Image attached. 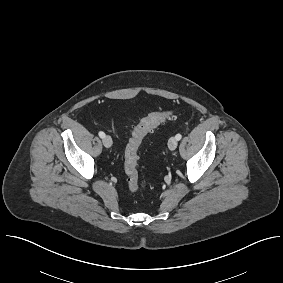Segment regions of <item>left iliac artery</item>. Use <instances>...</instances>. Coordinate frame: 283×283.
Here are the masks:
<instances>
[{
  "instance_id": "1",
  "label": "left iliac artery",
  "mask_w": 283,
  "mask_h": 283,
  "mask_svg": "<svg viewBox=\"0 0 283 283\" xmlns=\"http://www.w3.org/2000/svg\"><path fill=\"white\" fill-rule=\"evenodd\" d=\"M175 138H176L177 140H180V139L182 138V135H181V134H177V135L175 136Z\"/></svg>"
}]
</instances>
